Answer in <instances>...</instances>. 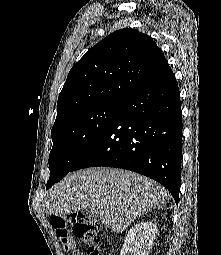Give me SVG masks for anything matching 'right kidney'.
I'll list each match as a JSON object with an SVG mask.
<instances>
[{"label":"right kidney","mask_w":221,"mask_h":255,"mask_svg":"<svg viewBox=\"0 0 221 255\" xmlns=\"http://www.w3.org/2000/svg\"><path fill=\"white\" fill-rule=\"evenodd\" d=\"M157 234L153 222H139L128 231L120 255H149Z\"/></svg>","instance_id":"1"}]
</instances>
